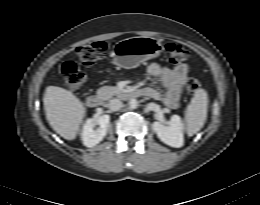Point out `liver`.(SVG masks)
I'll return each instance as SVG.
<instances>
[{
  "label": "liver",
  "mask_w": 260,
  "mask_h": 205,
  "mask_svg": "<svg viewBox=\"0 0 260 205\" xmlns=\"http://www.w3.org/2000/svg\"><path fill=\"white\" fill-rule=\"evenodd\" d=\"M43 104L52 129L66 140L75 139L86 114L83 103L71 91L48 86Z\"/></svg>",
  "instance_id": "liver-1"
}]
</instances>
